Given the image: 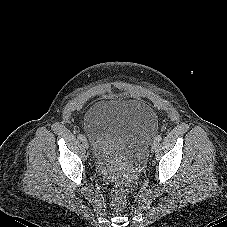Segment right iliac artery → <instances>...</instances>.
Here are the masks:
<instances>
[{
	"mask_svg": "<svg viewBox=\"0 0 227 227\" xmlns=\"http://www.w3.org/2000/svg\"><path fill=\"white\" fill-rule=\"evenodd\" d=\"M78 138H79L80 140H83L84 136H83L82 134H79V135H78Z\"/></svg>",
	"mask_w": 227,
	"mask_h": 227,
	"instance_id": "1",
	"label": "right iliac artery"
}]
</instances>
